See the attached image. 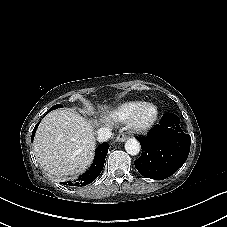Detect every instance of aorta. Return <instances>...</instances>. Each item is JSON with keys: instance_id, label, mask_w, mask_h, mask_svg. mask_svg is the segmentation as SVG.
<instances>
[{"instance_id": "1", "label": "aorta", "mask_w": 227, "mask_h": 227, "mask_svg": "<svg viewBox=\"0 0 227 227\" xmlns=\"http://www.w3.org/2000/svg\"><path fill=\"white\" fill-rule=\"evenodd\" d=\"M140 149V143L135 138H130L125 143L126 152L132 156L139 154Z\"/></svg>"}]
</instances>
